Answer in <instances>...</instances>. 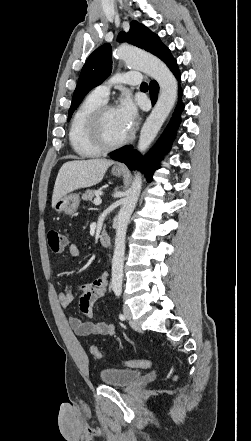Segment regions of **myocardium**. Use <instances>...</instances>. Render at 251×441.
Masks as SVG:
<instances>
[{"mask_svg":"<svg viewBox=\"0 0 251 441\" xmlns=\"http://www.w3.org/2000/svg\"><path fill=\"white\" fill-rule=\"evenodd\" d=\"M115 108L114 105L103 103L94 110L89 118L88 130L92 142L102 151L117 149L130 141L132 134L128 133L124 138L117 142H109L103 132V119L106 112Z\"/></svg>","mask_w":251,"mask_h":441,"instance_id":"obj_1","label":"myocardium"}]
</instances>
